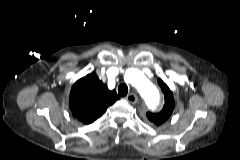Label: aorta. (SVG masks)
Segmentation results:
<instances>
[{"instance_id":"aorta-1","label":"aorta","mask_w":240,"mask_h":160,"mask_svg":"<svg viewBox=\"0 0 240 160\" xmlns=\"http://www.w3.org/2000/svg\"><path fill=\"white\" fill-rule=\"evenodd\" d=\"M131 84L136 88L140 97L149 110H155L161 103L160 92L157 87L138 70H134Z\"/></svg>"}]
</instances>
